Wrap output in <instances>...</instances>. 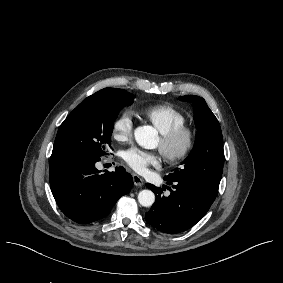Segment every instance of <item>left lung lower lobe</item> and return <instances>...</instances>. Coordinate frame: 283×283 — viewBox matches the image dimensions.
Segmentation results:
<instances>
[{
  "label": "left lung lower lobe",
  "instance_id": "0a47b994",
  "mask_svg": "<svg viewBox=\"0 0 283 283\" xmlns=\"http://www.w3.org/2000/svg\"><path fill=\"white\" fill-rule=\"evenodd\" d=\"M165 180L174 188L167 197L162 196L161 188L146 184L155 193L156 201L145 214V220L161 232L180 233L194 226L215 199L201 194L194 185L172 182L166 177Z\"/></svg>",
  "mask_w": 283,
  "mask_h": 283
}]
</instances>
